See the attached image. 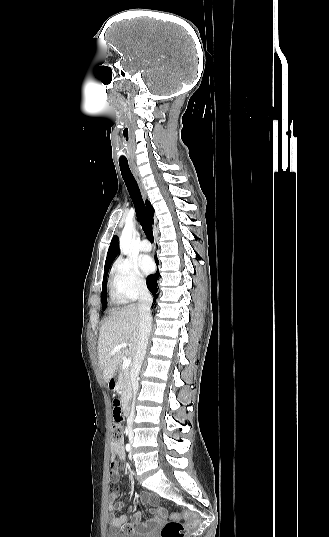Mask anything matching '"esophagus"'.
<instances>
[{
  "label": "esophagus",
  "instance_id": "obj_1",
  "mask_svg": "<svg viewBox=\"0 0 329 537\" xmlns=\"http://www.w3.org/2000/svg\"><path fill=\"white\" fill-rule=\"evenodd\" d=\"M131 170H132V173H133V175H134V177H135V179H136V181H137V183H138V186H139V188H140V191H141L142 196H143L144 198H146V190H145V187H144L142 178H141V176H140L138 170H137L136 168H134V167H133Z\"/></svg>",
  "mask_w": 329,
  "mask_h": 537
}]
</instances>
